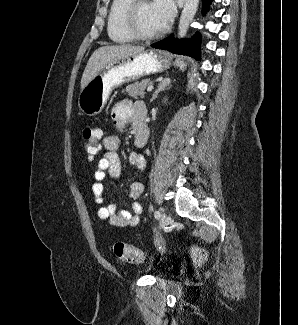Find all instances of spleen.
Here are the masks:
<instances>
[{"instance_id":"3e777b00","label":"spleen","mask_w":298,"mask_h":325,"mask_svg":"<svg viewBox=\"0 0 298 325\" xmlns=\"http://www.w3.org/2000/svg\"><path fill=\"white\" fill-rule=\"evenodd\" d=\"M180 70H184V66H180Z\"/></svg>"}]
</instances>
